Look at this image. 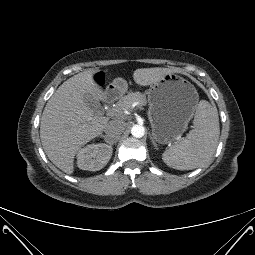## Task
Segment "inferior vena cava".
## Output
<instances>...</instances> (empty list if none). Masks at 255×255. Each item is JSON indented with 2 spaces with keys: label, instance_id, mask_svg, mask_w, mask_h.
<instances>
[{
  "label": "inferior vena cava",
  "instance_id": "obj_1",
  "mask_svg": "<svg viewBox=\"0 0 255 255\" xmlns=\"http://www.w3.org/2000/svg\"><path fill=\"white\" fill-rule=\"evenodd\" d=\"M125 129V123L122 120H113L105 125L104 131L111 144L117 142L119 135L123 133Z\"/></svg>",
  "mask_w": 255,
  "mask_h": 255
}]
</instances>
